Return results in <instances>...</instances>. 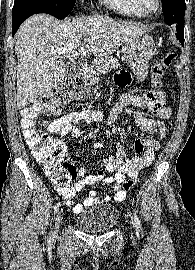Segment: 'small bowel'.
Listing matches in <instances>:
<instances>
[{
    "label": "small bowel",
    "instance_id": "c3829d8e",
    "mask_svg": "<svg viewBox=\"0 0 195 270\" xmlns=\"http://www.w3.org/2000/svg\"><path fill=\"white\" fill-rule=\"evenodd\" d=\"M115 82L118 86L124 87L131 82V75L127 71H121L115 75ZM147 94V93H146ZM144 96L134 94H123L112 108L108 117V129L106 133L113 135L118 130L117 119L124 108L128 105H134L145 109L148 113L156 115L160 119L170 118L172 111L165 104L161 106H150ZM128 116L133 119L139 126L142 133L146 136L137 138L133 144V150L136 156L128 158L125 149L122 145H117V153L109 156L103 161V169L97 174L86 175L84 166L76 167L70 162H65V167L69 176L76 180L75 184L66 191H59L62 197L67 201L68 205L73 207V212L78 214L83 207H90L95 204H100L110 200L107 195L101 198L95 190L89 191L88 195L83 200V203L75 204L74 197L84 187L103 182L107 185H113L115 191L114 199L122 201L126 197V192L121 189L120 184L125 181L126 176L135 177L138 172L148 167L154 160L155 153L160 148V142L165 136V125L159 120L152 119L146 114L131 111ZM103 115L98 110L83 109L80 111H72L51 122L48 127L50 133L60 136L70 134L74 138L82 136L83 131L78 127V123L83 121L86 124H96L102 121ZM158 132V135L156 133ZM102 143H97L95 147H101ZM114 173L112 176H105L104 172Z\"/></svg>",
    "mask_w": 195,
    "mask_h": 270
}]
</instances>
